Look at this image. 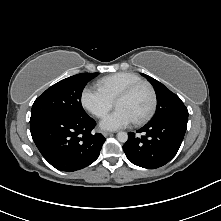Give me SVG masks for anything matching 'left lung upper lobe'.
I'll use <instances>...</instances> for the list:
<instances>
[{
	"label": "left lung upper lobe",
	"mask_w": 221,
	"mask_h": 221,
	"mask_svg": "<svg viewBox=\"0 0 221 221\" xmlns=\"http://www.w3.org/2000/svg\"><path fill=\"white\" fill-rule=\"evenodd\" d=\"M148 79V81L153 85L156 96H157V109L156 114L150 121V123H156L163 119L176 117V116H187L188 110L181 101V99L166 88L162 83L155 80L154 78L142 74Z\"/></svg>",
	"instance_id": "5c2ea615"
}]
</instances>
